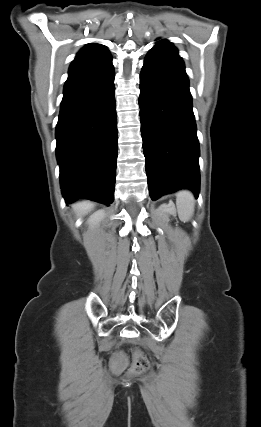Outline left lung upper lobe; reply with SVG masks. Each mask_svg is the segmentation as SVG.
<instances>
[{
  "label": "left lung upper lobe",
  "instance_id": "1",
  "mask_svg": "<svg viewBox=\"0 0 261 427\" xmlns=\"http://www.w3.org/2000/svg\"><path fill=\"white\" fill-rule=\"evenodd\" d=\"M155 47L164 49V50L172 52L174 54H177V52H178L177 49L173 46V44L166 41V40H161L160 42H158V44Z\"/></svg>",
  "mask_w": 261,
  "mask_h": 427
}]
</instances>
